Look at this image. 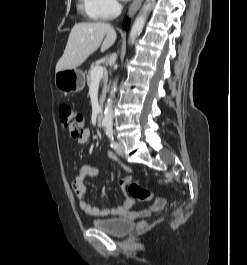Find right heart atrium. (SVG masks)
<instances>
[{"mask_svg":"<svg viewBox=\"0 0 247 265\" xmlns=\"http://www.w3.org/2000/svg\"><path fill=\"white\" fill-rule=\"evenodd\" d=\"M84 6L89 16L101 20L113 18L121 10L118 0H84Z\"/></svg>","mask_w":247,"mask_h":265,"instance_id":"d8ad5b80","label":"right heart atrium"}]
</instances>
